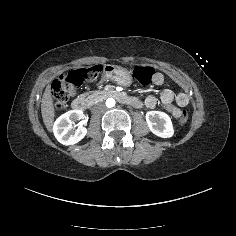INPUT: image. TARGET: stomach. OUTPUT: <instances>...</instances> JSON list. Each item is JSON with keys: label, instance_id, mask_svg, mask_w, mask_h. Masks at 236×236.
I'll return each mask as SVG.
<instances>
[{"label": "stomach", "instance_id": "1", "mask_svg": "<svg viewBox=\"0 0 236 236\" xmlns=\"http://www.w3.org/2000/svg\"><path fill=\"white\" fill-rule=\"evenodd\" d=\"M104 76L114 83L123 87H128L132 83L131 71L116 65H105Z\"/></svg>", "mask_w": 236, "mask_h": 236}]
</instances>
